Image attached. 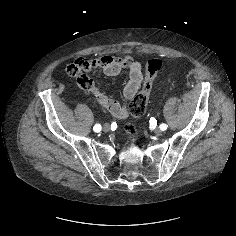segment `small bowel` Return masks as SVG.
I'll use <instances>...</instances> for the list:
<instances>
[{
  "label": "small bowel",
  "mask_w": 236,
  "mask_h": 236,
  "mask_svg": "<svg viewBox=\"0 0 236 236\" xmlns=\"http://www.w3.org/2000/svg\"><path fill=\"white\" fill-rule=\"evenodd\" d=\"M76 60L80 61L74 62L69 66V76L76 80L86 94H94L99 104L105 107L112 115L117 118L126 117L131 109V104L128 100L137 94L143 82V67L141 63L128 55L122 57L103 55L95 59L78 58ZM96 70H101L106 76H117L123 70H127L129 72V81L123 90L125 98L115 101L100 92L99 84L93 77Z\"/></svg>",
  "instance_id": "obj_1"
}]
</instances>
